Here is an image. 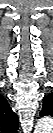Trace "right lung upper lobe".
Here are the masks:
<instances>
[{
	"instance_id": "1",
	"label": "right lung upper lobe",
	"mask_w": 53,
	"mask_h": 133,
	"mask_svg": "<svg viewBox=\"0 0 53 133\" xmlns=\"http://www.w3.org/2000/svg\"><path fill=\"white\" fill-rule=\"evenodd\" d=\"M18 118L10 108L8 101L0 95V128L6 133H16Z\"/></svg>"
}]
</instances>
